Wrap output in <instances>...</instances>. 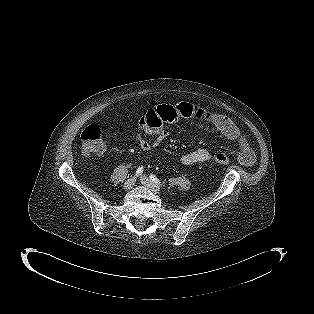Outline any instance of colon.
I'll return each instance as SVG.
<instances>
[{
	"mask_svg": "<svg viewBox=\"0 0 314 314\" xmlns=\"http://www.w3.org/2000/svg\"><path fill=\"white\" fill-rule=\"evenodd\" d=\"M82 149L88 156L99 155L104 152L103 131L98 125H89L81 133ZM215 162L221 165L230 163L229 157L221 152L213 155Z\"/></svg>",
	"mask_w": 314,
	"mask_h": 314,
	"instance_id": "colon-1",
	"label": "colon"
}]
</instances>
